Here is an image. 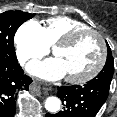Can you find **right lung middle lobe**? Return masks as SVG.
Listing matches in <instances>:
<instances>
[{
    "instance_id": "right-lung-middle-lobe-1",
    "label": "right lung middle lobe",
    "mask_w": 117,
    "mask_h": 117,
    "mask_svg": "<svg viewBox=\"0 0 117 117\" xmlns=\"http://www.w3.org/2000/svg\"><path fill=\"white\" fill-rule=\"evenodd\" d=\"M22 11H6L0 14V62H17L14 50V35L19 26L34 17Z\"/></svg>"
}]
</instances>
